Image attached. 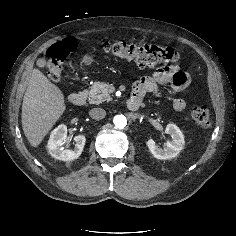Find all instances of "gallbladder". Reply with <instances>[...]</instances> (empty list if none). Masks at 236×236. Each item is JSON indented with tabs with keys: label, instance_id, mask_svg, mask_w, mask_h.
Segmentation results:
<instances>
[{
	"label": "gallbladder",
	"instance_id": "1",
	"mask_svg": "<svg viewBox=\"0 0 236 236\" xmlns=\"http://www.w3.org/2000/svg\"><path fill=\"white\" fill-rule=\"evenodd\" d=\"M38 65H39L40 67H44V65H45V60H44V59H40V60L38 61Z\"/></svg>",
	"mask_w": 236,
	"mask_h": 236
}]
</instances>
